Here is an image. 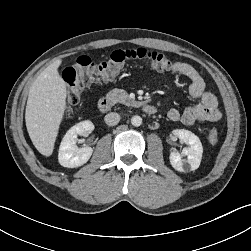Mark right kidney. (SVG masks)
I'll return each mask as SVG.
<instances>
[{
	"mask_svg": "<svg viewBox=\"0 0 251 251\" xmlns=\"http://www.w3.org/2000/svg\"><path fill=\"white\" fill-rule=\"evenodd\" d=\"M94 125L91 121H82L71 127L65 134L59 148L58 161L67 168H76L85 164L91 157L93 149L89 146L78 148L77 136L91 132Z\"/></svg>",
	"mask_w": 251,
	"mask_h": 251,
	"instance_id": "obj_1",
	"label": "right kidney"
}]
</instances>
